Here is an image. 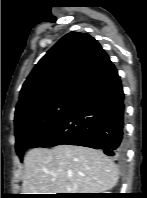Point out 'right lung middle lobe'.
<instances>
[{
    "label": "right lung middle lobe",
    "instance_id": "obj_1",
    "mask_svg": "<svg viewBox=\"0 0 147 198\" xmlns=\"http://www.w3.org/2000/svg\"><path fill=\"white\" fill-rule=\"evenodd\" d=\"M75 100H56L40 105L15 120L16 153L24 152L46 135L72 108Z\"/></svg>",
    "mask_w": 147,
    "mask_h": 198
}]
</instances>
